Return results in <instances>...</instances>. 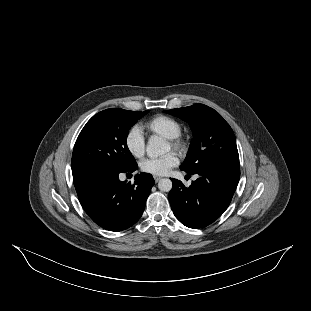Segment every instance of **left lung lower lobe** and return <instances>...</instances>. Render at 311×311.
Wrapping results in <instances>:
<instances>
[{
	"label": "left lung lower lobe",
	"mask_w": 311,
	"mask_h": 311,
	"mask_svg": "<svg viewBox=\"0 0 311 311\" xmlns=\"http://www.w3.org/2000/svg\"><path fill=\"white\" fill-rule=\"evenodd\" d=\"M192 174H198L199 178L188 188L181 181L171 179L173 187L169 201L182 224L189 228H204L229 206L239 181L240 166L219 164Z\"/></svg>",
	"instance_id": "left-lung-lower-lobe-1"
}]
</instances>
